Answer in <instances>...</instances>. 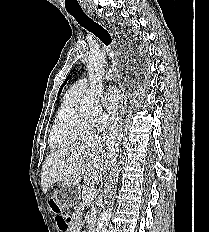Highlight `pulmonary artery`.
<instances>
[{
    "label": "pulmonary artery",
    "instance_id": "1",
    "mask_svg": "<svg viewBox=\"0 0 209 232\" xmlns=\"http://www.w3.org/2000/svg\"><path fill=\"white\" fill-rule=\"evenodd\" d=\"M113 74L108 71L104 75V80H112ZM88 87V79L87 78H81L79 79L71 88H73L76 92L84 94Z\"/></svg>",
    "mask_w": 209,
    "mask_h": 232
}]
</instances>
